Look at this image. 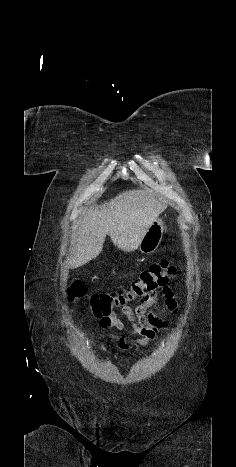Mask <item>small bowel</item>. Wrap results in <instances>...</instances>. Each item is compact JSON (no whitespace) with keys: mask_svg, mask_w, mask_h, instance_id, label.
Segmentation results:
<instances>
[{"mask_svg":"<svg viewBox=\"0 0 236 467\" xmlns=\"http://www.w3.org/2000/svg\"><path fill=\"white\" fill-rule=\"evenodd\" d=\"M162 294L165 298L166 310L174 312L177 307L174 292L170 287H165L162 290ZM157 296V292H153L141 299L140 304L136 308L126 305L121 309L122 314L132 323L134 333L140 335L135 340V343L139 346L147 345L149 342L155 340L158 334L168 327V323L160 315L162 307L156 302ZM150 308L152 310L148 313L147 311ZM97 324L100 328L114 327L119 333L110 335L109 339H116L118 347L121 350L129 348L127 336L123 333V320L117 313L98 317Z\"/></svg>","mask_w":236,"mask_h":467,"instance_id":"small-bowel-1","label":"small bowel"}]
</instances>
